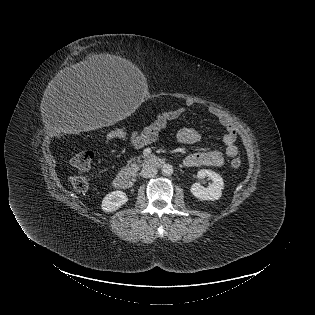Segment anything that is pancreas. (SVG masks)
Wrapping results in <instances>:
<instances>
[{
  "mask_svg": "<svg viewBox=\"0 0 315 315\" xmlns=\"http://www.w3.org/2000/svg\"><path fill=\"white\" fill-rule=\"evenodd\" d=\"M129 163H131L130 166H131L132 168H136V167H137V165H136L134 162H132V160H130ZM128 165H129V164H128Z\"/></svg>",
  "mask_w": 315,
  "mask_h": 315,
  "instance_id": "cf45deb5",
  "label": "pancreas"
}]
</instances>
